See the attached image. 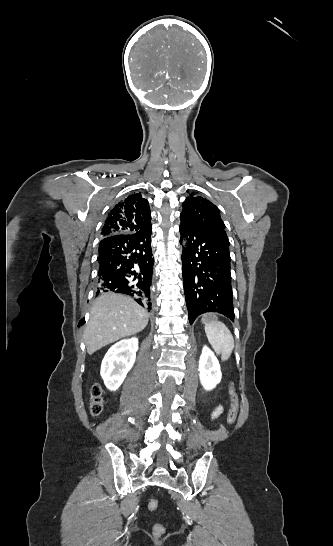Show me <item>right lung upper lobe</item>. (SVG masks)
Here are the masks:
<instances>
[{
    "label": "right lung upper lobe",
    "instance_id": "obj_1",
    "mask_svg": "<svg viewBox=\"0 0 333 546\" xmlns=\"http://www.w3.org/2000/svg\"><path fill=\"white\" fill-rule=\"evenodd\" d=\"M149 203L141 194H132L117 203L109 212L101 237L130 234L151 226Z\"/></svg>",
    "mask_w": 333,
    "mask_h": 546
}]
</instances>
